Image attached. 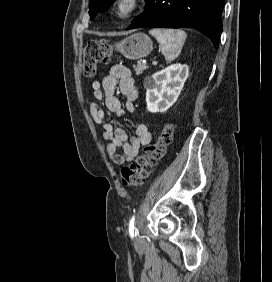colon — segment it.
<instances>
[{
  "instance_id": "1",
  "label": "colon",
  "mask_w": 272,
  "mask_h": 282,
  "mask_svg": "<svg viewBox=\"0 0 272 282\" xmlns=\"http://www.w3.org/2000/svg\"><path fill=\"white\" fill-rule=\"evenodd\" d=\"M109 46L97 40H91L85 47L83 54V74L87 79H93L97 74V66L110 60ZM173 129L166 125L158 139L148 145L144 153L130 166L121 171L122 181L125 186H140L153 171L159 160L164 156L166 147L171 143Z\"/></svg>"
}]
</instances>
